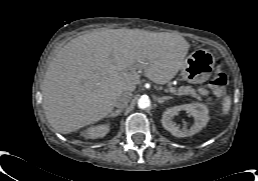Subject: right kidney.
<instances>
[{"label":"right kidney","mask_w":258,"mask_h":181,"mask_svg":"<svg viewBox=\"0 0 258 181\" xmlns=\"http://www.w3.org/2000/svg\"><path fill=\"white\" fill-rule=\"evenodd\" d=\"M109 125L91 126L82 132V135L87 139H96L104 137L109 132Z\"/></svg>","instance_id":"right-kidney-1"}]
</instances>
